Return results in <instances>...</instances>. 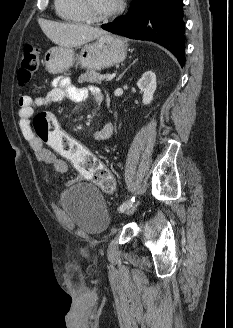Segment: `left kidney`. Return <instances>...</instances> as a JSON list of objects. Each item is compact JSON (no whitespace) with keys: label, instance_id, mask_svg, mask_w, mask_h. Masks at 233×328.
<instances>
[{"label":"left kidney","instance_id":"5707ae66","mask_svg":"<svg viewBox=\"0 0 233 328\" xmlns=\"http://www.w3.org/2000/svg\"><path fill=\"white\" fill-rule=\"evenodd\" d=\"M156 75L152 71L145 72L138 80L137 86L143 92V104L149 105L156 90Z\"/></svg>","mask_w":233,"mask_h":328}]
</instances>
